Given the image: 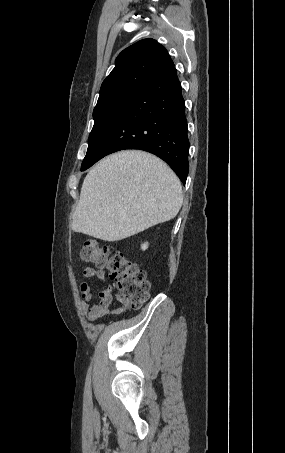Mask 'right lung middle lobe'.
<instances>
[{"mask_svg":"<svg viewBox=\"0 0 285 453\" xmlns=\"http://www.w3.org/2000/svg\"><path fill=\"white\" fill-rule=\"evenodd\" d=\"M134 94L135 92L122 94L95 106L93 111L94 126L89 135L88 150L82 162L81 171L86 170L93 161L97 150L103 143L115 120Z\"/></svg>","mask_w":285,"mask_h":453,"instance_id":"1","label":"right lung middle lobe"}]
</instances>
